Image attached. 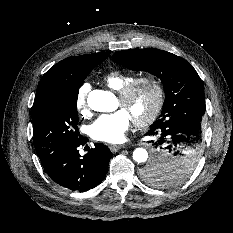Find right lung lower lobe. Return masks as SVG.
Masks as SVG:
<instances>
[{
	"instance_id": "obj_1",
	"label": "right lung lower lobe",
	"mask_w": 233,
	"mask_h": 233,
	"mask_svg": "<svg viewBox=\"0 0 233 233\" xmlns=\"http://www.w3.org/2000/svg\"><path fill=\"white\" fill-rule=\"evenodd\" d=\"M85 142L81 138L56 156L40 159L45 172L60 186L83 192L103 181L113 154L107 146L96 143L81 157L77 147Z\"/></svg>"
}]
</instances>
